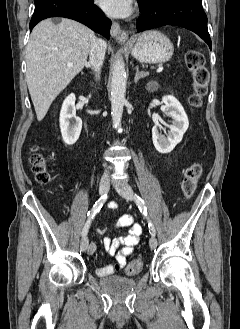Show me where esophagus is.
<instances>
[{"mask_svg": "<svg viewBox=\"0 0 240 329\" xmlns=\"http://www.w3.org/2000/svg\"><path fill=\"white\" fill-rule=\"evenodd\" d=\"M111 35L121 44L126 43L128 40L127 33L121 29L120 25L116 21H112Z\"/></svg>", "mask_w": 240, "mask_h": 329, "instance_id": "esophagus-1", "label": "esophagus"}]
</instances>
